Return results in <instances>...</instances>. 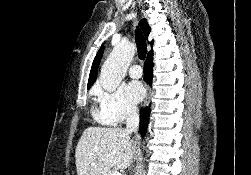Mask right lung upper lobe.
<instances>
[{
    "mask_svg": "<svg viewBox=\"0 0 251 175\" xmlns=\"http://www.w3.org/2000/svg\"><path fill=\"white\" fill-rule=\"evenodd\" d=\"M140 26L146 36V38H148L149 36V33L151 31L147 21L144 19V20H141L140 21ZM150 44L152 45L153 44V41L150 42ZM103 51H104V47H102L94 61H93V64H92V68H91V71H90V75H89V80H88V89L91 87V85L94 83V81L96 80V76H97V70H98V66H99V63H100V60H101V57L103 55ZM147 59H153V51L151 50L149 53H148V56H147Z\"/></svg>",
    "mask_w": 251,
    "mask_h": 175,
    "instance_id": "obj_1",
    "label": "right lung upper lobe"
}]
</instances>
